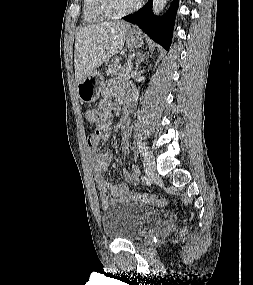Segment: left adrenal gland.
<instances>
[{
    "label": "left adrenal gland",
    "instance_id": "a2214340",
    "mask_svg": "<svg viewBox=\"0 0 253 285\" xmlns=\"http://www.w3.org/2000/svg\"><path fill=\"white\" fill-rule=\"evenodd\" d=\"M144 58H145V54L142 55V54L138 53L137 61H136V68H135L136 70H138L139 65L144 61Z\"/></svg>",
    "mask_w": 253,
    "mask_h": 285
}]
</instances>
